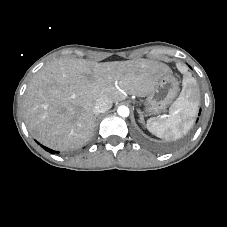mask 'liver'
Listing matches in <instances>:
<instances>
[{
  "label": "liver",
  "mask_w": 227,
  "mask_h": 227,
  "mask_svg": "<svg viewBox=\"0 0 227 227\" xmlns=\"http://www.w3.org/2000/svg\"><path fill=\"white\" fill-rule=\"evenodd\" d=\"M171 69L158 61L128 60L97 63L60 59L43 66L23 96L29 132L56 150L77 149L92 137L96 101L119 102L127 94L144 97Z\"/></svg>",
  "instance_id": "6515ba94"
}]
</instances>
